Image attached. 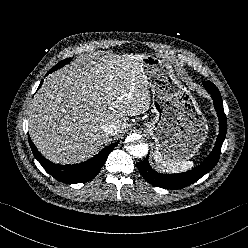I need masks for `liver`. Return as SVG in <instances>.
<instances>
[{
  "mask_svg": "<svg viewBox=\"0 0 248 248\" xmlns=\"http://www.w3.org/2000/svg\"><path fill=\"white\" fill-rule=\"evenodd\" d=\"M143 58L103 56L47 77L29 114V133L38 150L54 163L84 161L108 141L103 125L115 124L122 133L129 116L148 111L151 97Z\"/></svg>",
  "mask_w": 248,
  "mask_h": 248,
  "instance_id": "6515ba94",
  "label": "liver"
}]
</instances>
